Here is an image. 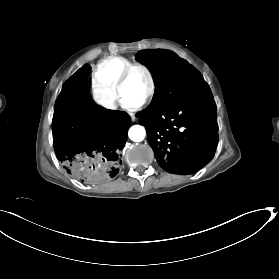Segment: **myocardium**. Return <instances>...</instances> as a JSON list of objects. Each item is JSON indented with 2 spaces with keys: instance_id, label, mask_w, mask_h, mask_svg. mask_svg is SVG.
<instances>
[{
  "instance_id": "f54148a6",
  "label": "myocardium",
  "mask_w": 279,
  "mask_h": 279,
  "mask_svg": "<svg viewBox=\"0 0 279 279\" xmlns=\"http://www.w3.org/2000/svg\"><path fill=\"white\" fill-rule=\"evenodd\" d=\"M134 70L143 71L147 75L148 80H149V84H150L149 91L139 105V106H143L153 99V97L155 96V92H156V81H155L154 75L146 65L141 64V63H131L127 67H125L122 70V72L118 78L117 93L122 98L123 90L126 86V83L130 77V74Z\"/></svg>"
}]
</instances>
